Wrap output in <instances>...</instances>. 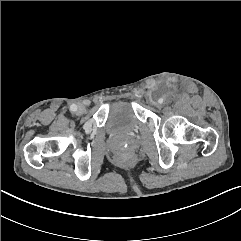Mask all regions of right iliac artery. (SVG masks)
<instances>
[{
	"instance_id": "right-iliac-artery-1",
	"label": "right iliac artery",
	"mask_w": 241,
	"mask_h": 241,
	"mask_svg": "<svg viewBox=\"0 0 241 241\" xmlns=\"http://www.w3.org/2000/svg\"><path fill=\"white\" fill-rule=\"evenodd\" d=\"M70 110H71L72 112H75V111L77 110V105L72 104V105L70 106Z\"/></svg>"
}]
</instances>
